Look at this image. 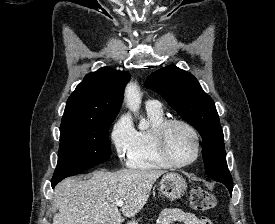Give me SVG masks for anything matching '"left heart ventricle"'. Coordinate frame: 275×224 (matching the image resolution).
Wrapping results in <instances>:
<instances>
[{
    "mask_svg": "<svg viewBox=\"0 0 275 224\" xmlns=\"http://www.w3.org/2000/svg\"><path fill=\"white\" fill-rule=\"evenodd\" d=\"M166 146L170 156L179 163L189 161L195 152L192 134L181 125H173L169 128Z\"/></svg>",
    "mask_w": 275,
    "mask_h": 224,
    "instance_id": "obj_1",
    "label": "left heart ventricle"
}]
</instances>
